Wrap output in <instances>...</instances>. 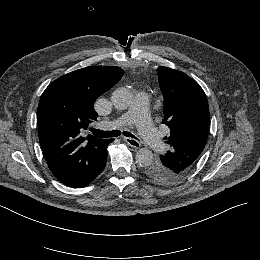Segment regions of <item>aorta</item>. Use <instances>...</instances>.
Returning a JSON list of instances; mask_svg holds the SVG:
<instances>
[{
  "mask_svg": "<svg viewBox=\"0 0 260 260\" xmlns=\"http://www.w3.org/2000/svg\"><path fill=\"white\" fill-rule=\"evenodd\" d=\"M114 107L118 110L127 109L132 102V93L127 88L116 89L111 96ZM136 162L141 167H148L153 163V153L148 148H141L135 155Z\"/></svg>",
  "mask_w": 260,
  "mask_h": 260,
  "instance_id": "aorta-1",
  "label": "aorta"
}]
</instances>
